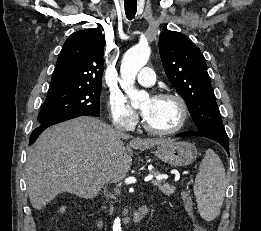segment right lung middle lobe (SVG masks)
Listing matches in <instances>:
<instances>
[{
	"instance_id": "dd1d6c3e",
	"label": "right lung middle lobe",
	"mask_w": 261,
	"mask_h": 231,
	"mask_svg": "<svg viewBox=\"0 0 261 231\" xmlns=\"http://www.w3.org/2000/svg\"><path fill=\"white\" fill-rule=\"evenodd\" d=\"M101 86L49 89L38 116L40 124L76 114L99 116Z\"/></svg>"
}]
</instances>
